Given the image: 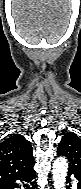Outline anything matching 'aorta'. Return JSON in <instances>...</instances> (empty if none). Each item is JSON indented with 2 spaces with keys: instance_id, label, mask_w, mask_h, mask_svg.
Listing matches in <instances>:
<instances>
[{
  "instance_id": "aorta-1",
  "label": "aorta",
  "mask_w": 81,
  "mask_h": 189,
  "mask_svg": "<svg viewBox=\"0 0 81 189\" xmlns=\"http://www.w3.org/2000/svg\"><path fill=\"white\" fill-rule=\"evenodd\" d=\"M68 162L64 157L57 158L53 163V180L55 189H65Z\"/></svg>"
}]
</instances>
